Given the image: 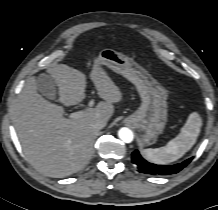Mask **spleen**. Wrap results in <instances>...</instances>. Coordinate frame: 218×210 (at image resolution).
Here are the masks:
<instances>
[{
	"mask_svg": "<svg viewBox=\"0 0 218 210\" xmlns=\"http://www.w3.org/2000/svg\"><path fill=\"white\" fill-rule=\"evenodd\" d=\"M202 120L193 112L189 115L181 132L165 146L156 149H144L145 157L156 164H170L181 158L195 144L200 133Z\"/></svg>",
	"mask_w": 218,
	"mask_h": 210,
	"instance_id": "spleen-1",
	"label": "spleen"
}]
</instances>
